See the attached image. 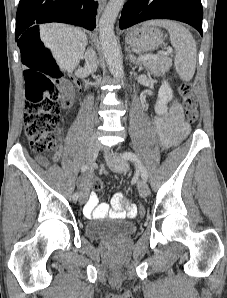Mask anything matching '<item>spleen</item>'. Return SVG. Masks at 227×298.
<instances>
[{
    "label": "spleen",
    "instance_id": "3e777b00",
    "mask_svg": "<svg viewBox=\"0 0 227 298\" xmlns=\"http://www.w3.org/2000/svg\"><path fill=\"white\" fill-rule=\"evenodd\" d=\"M147 23L168 30L170 42L175 49L174 64L176 72L182 80L190 81L195 73L197 57L196 42L192 34L175 21L153 20Z\"/></svg>",
    "mask_w": 227,
    "mask_h": 298
}]
</instances>
